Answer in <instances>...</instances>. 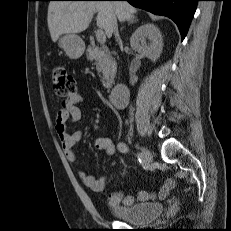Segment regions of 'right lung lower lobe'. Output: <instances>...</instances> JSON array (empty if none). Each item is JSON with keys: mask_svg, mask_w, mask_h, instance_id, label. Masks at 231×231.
I'll return each instance as SVG.
<instances>
[{"mask_svg": "<svg viewBox=\"0 0 231 231\" xmlns=\"http://www.w3.org/2000/svg\"><path fill=\"white\" fill-rule=\"evenodd\" d=\"M97 1V0H89ZM128 1L135 7L171 18L178 26L182 40L185 38L199 0H118Z\"/></svg>", "mask_w": 231, "mask_h": 231, "instance_id": "98d812e1", "label": "right lung lower lobe"}]
</instances>
